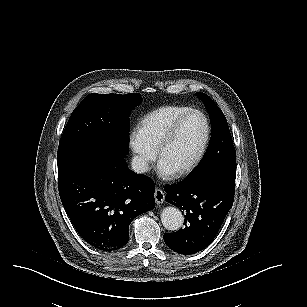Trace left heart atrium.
<instances>
[{"mask_svg":"<svg viewBox=\"0 0 307 307\" xmlns=\"http://www.w3.org/2000/svg\"><path fill=\"white\" fill-rule=\"evenodd\" d=\"M159 173L163 176L164 181L173 182L177 177V171L174 168H170V163L167 160H162L158 164Z\"/></svg>","mask_w":307,"mask_h":307,"instance_id":"obj_1","label":"left heart atrium"}]
</instances>
